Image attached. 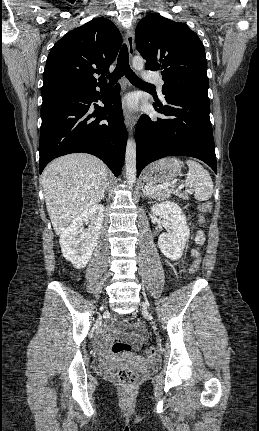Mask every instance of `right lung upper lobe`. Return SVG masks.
Wrapping results in <instances>:
<instances>
[{
    "mask_svg": "<svg viewBox=\"0 0 259 431\" xmlns=\"http://www.w3.org/2000/svg\"><path fill=\"white\" fill-rule=\"evenodd\" d=\"M117 27L106 18H94L64 35L51 49L42 90L53 87L82 89L106 84L121 46ZM102 74L97 82L94 74Z\"/></svg>",
    "mask_w": 259,
    "mask_h": 431,
    "instance_id": "cb5924a9",
    "label": "right lung upper lobe"
}]
</instances>
